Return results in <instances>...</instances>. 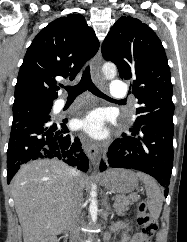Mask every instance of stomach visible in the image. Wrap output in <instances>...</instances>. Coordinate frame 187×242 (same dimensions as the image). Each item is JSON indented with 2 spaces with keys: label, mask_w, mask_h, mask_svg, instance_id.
<instances>
[{
  "label": "stomach",
  "mask_w": 187,
  "mask_h": 242,
  "mask_svg": "<svg viewBox=\"0 0 187 242\" xmlns=\"http://www.w3.org/2000/svg\"><path fill=\"white\" fill-rule=\"evenodd\" d=\"M101 183L108 190L126 194L138 187V178L131 170L114 169L101 177Z\"/></svg>",
  "instance_id": "0dacf381"
}]
</instances>
